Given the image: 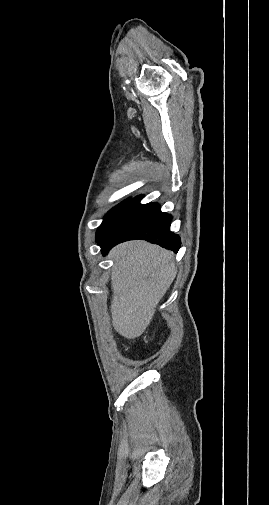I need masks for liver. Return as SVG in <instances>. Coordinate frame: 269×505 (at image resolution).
<instances>
[{"label":"liver","instance_id":"6515ba94","mask_svg":"<svg viewBox=\"0 0 269 505\" xmlns=\"http://www.w3.org/2000/svg\"><path fill=\"white\" fill-rule=\"evenodd\" d=\"M110 258L112 324L120 335L135 339L150 324L176 276L174 254L145 241H129L114 247Z\"/></svg>","mask_w":269,"mask_h":505}]
</instances>
